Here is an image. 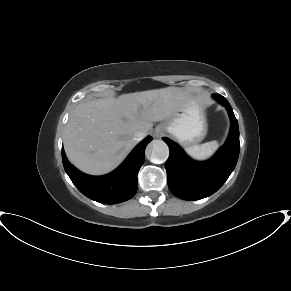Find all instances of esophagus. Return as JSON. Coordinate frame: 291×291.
Returning <instances> with one entry per match:
<instances>
[{
  "instance_id": "1",
  "label": "esophagus",
  "mask_w": 291,
  "mask_h": 291,
  "mask_svg": "<svg viewBox=\"0 0 291 291\" xmlns=\"http://www.w3.org/2000/svg\"><path fill=\"white\" fill-rule=\"evenodd\" d=\"M162 134H163L162 132L156 130V131H154L153 136L156 137V138H159V137L162 136Z\"/></svg>"
}]
</instances>
